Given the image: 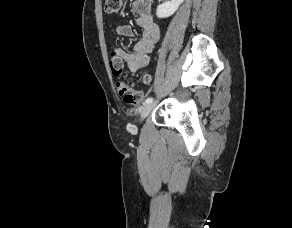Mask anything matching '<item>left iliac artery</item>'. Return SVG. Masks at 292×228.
Masks as SVG:
<instances>
[{
    "label": "left iliac artery",
    "instance_id": "left-iliac-artery-1",
    "mask_svg": "<svg viewBox=\"0 0 292 228\" xmlns=\"http://www.w3.org/2000/svg\"><path fill=\"white\" fill-rule=\"evenodd\" d=\"M150 102H153V98H152V97H148V98L145 100V103H150Z\"/></svg>",
    "mask_w": 292,
    "mask_h": 228
}]
</instances>
